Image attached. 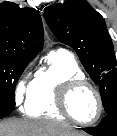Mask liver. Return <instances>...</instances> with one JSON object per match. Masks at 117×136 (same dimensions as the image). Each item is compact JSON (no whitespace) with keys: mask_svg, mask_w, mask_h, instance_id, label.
Returning <instances> with one entry per match:
<instances>
[{"mask_svg":"<svg viewBox=\"0 0 117 136\" xmlns=\"http://www.w3.org/2000/svg\"><path fill=\"white\" fill-rule=\"evenodd\" d=\"M0 136H87L66 124L46 120L8 119L0 122Z\"/></svg>","mask_w":117,"mask_h":136,"instance_id":"obj_1","label":"liver"}]
</instances>
